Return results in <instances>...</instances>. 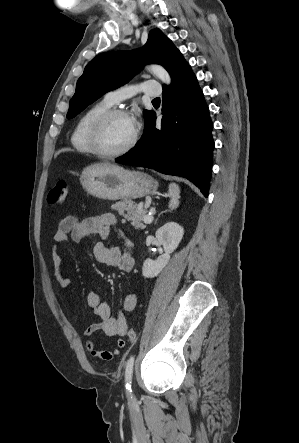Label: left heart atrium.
<instances>
[{"mask_svg":"<svg viewBox=\"0 0 299 443\" xmlns=\"http://www.w3.org/2000/svg\"><path fill=\"white\" fill-rule=\"evenodd\" d=\"M130 120H131L133 126L136 127V120H135V118H130Z\"/></svg>","mask_w":299,"mask_h":443,"instance_id":"left-heart-atrium-1","label":"left heart atrium"}]
</instances>
